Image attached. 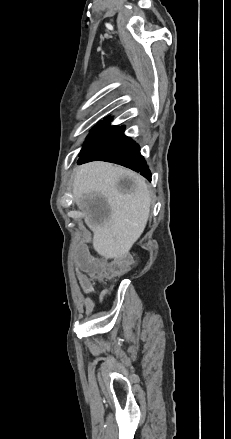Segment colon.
Segmentation results:
<instances>
[{"mask_svg": "<svg viewBox=\"0 0 231 439\" xmlns=\"http://www.w3.org/2000/svg\"><path fill=\"white\" fill-rule=\"evenodd\" d=\"M79 254L76 258L78 268V282L85 292L93 291V279H104L124 273L128 264L123 261L116 264H105L90 254V247L87 245L78 248ZM83 256V257H82Z\"/></svg>", "mask_w": 231, "mask_h": 439, "instance_id": "obj_1", "label": "colon"}]
</instances>
